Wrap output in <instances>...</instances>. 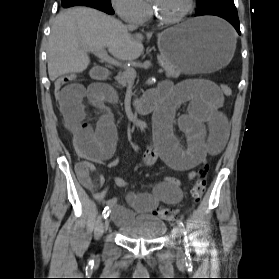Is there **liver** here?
Returning a JSON list of instances; mask_svg holds the SVG:
<instances>
[{"label": "liver", "instance_id": "6515ba94", "mask_svg": "<svg viewBox=\"0 0 279 279\" xmlns=\"http://www.w3.org/2000/svg\"><path fill=\"white\" fill-rule=\"evenodd\" d=\"M133 28L88 7H73L60 12L51 26L48 44V73L51 81L88 67V48L104 49L118 59L133 61L144 50L142 34Z\"/></svg>", "mask_w": 279, "mask_h": 279}]
</instances>
